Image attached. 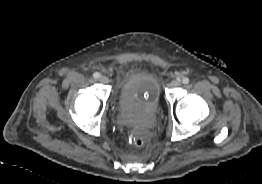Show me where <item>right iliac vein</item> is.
Instances as JSON below:
<instances>
[{"instance_id": "1", "label": "right iliac vein", "mask_w": 262, "mask_h": 184, "mask_svg": "<svg viewBox=\"0 0 262 184\" xmlns=\"http://www.w3.org/2000/svg\"><path fill=\"white\" fill-rule=\"evenodd\" d=\"M99 81L101 83H108L109 79H108L107 76L102 75V76L99 77Z\"/></svg>"}]
</instances>
